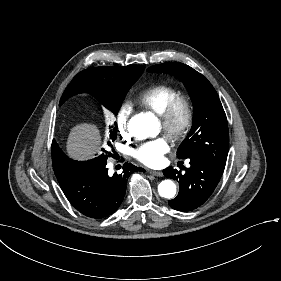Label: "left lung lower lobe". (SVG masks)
Segmentation results:
<instances>
[{
	"instance_id": "obj_1",
	"label": "left lung lower lobe",
	"mask_w": 281,
	"mask_h": 281,
	"mask_svg": "<svg viewBox=\"0 0 281 281\" xmlns=\"http://www.w3.org/2000/svg\"><path fill=\"white\" fill-rule=\"evenodd\" d=\"M190 167L181 174L172 167L163 171L168 178L179 180V193L168 204L178 211H191L201 206L213 193L224 168L202 158L190 157Z\"/></svg>"
}]
</instances>
